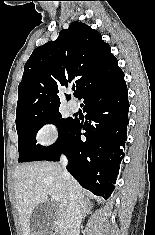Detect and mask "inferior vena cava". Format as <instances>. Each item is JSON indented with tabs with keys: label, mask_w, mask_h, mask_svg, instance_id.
Segmentation results:
<instances>
[{
	"label": "inferior vena cava",
	"mask_w": 155,
	"mask_h": 235,
	"mask_svg": "<svg viewBox=\"0 0 155 235\" xmlns=\"http://www.w3.org/2000/svg\"><path fill=\"white\" fill-rule=\"evenodd\" d=\"M61 163L64 168L63 174L67 179L66 185L68 190V208L66 216V235H79V227L82 220L80 206L77 201V196L73 189L70 174L66 170L67 160L64 156L61 158Z\"/></svg>",
	"instance_id": "obj_1"
}]
</instances>
